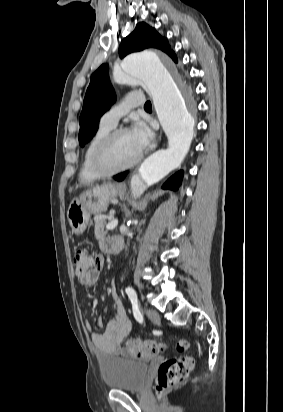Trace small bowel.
<instances>
[{
	"mask_svg": "<svg viewBox=\"0 0 283 412\" xmlns=\"http://www.w3.org/2000/svg\"><path fill=\"white\" fill-rule=\"evenodd\" d=\"M116 238H104L100 241V247L104 252H110L112 243ZM101 263L96 266L85 279L82 280L86 286L94 285L99 278V273L103 267V260L101 256ZM110 294L115 308V315L110 319L103 331V333H92L91 325L88 320H84L85 329L91 334L92 343L98 356L112 357L125 356L130 357L129 353L122 348L123 341L128 337L131 331V322L126 313V310L117 294L115 283L110 287ZM97 325L102 327L104 322L101 318L97 320Z\"/></svg>",
	"mask_w": 283,
	"mask_h": 412,
	"instance_id": "c3829d8e",
	"label": "small bowel"
}]
</instances>
